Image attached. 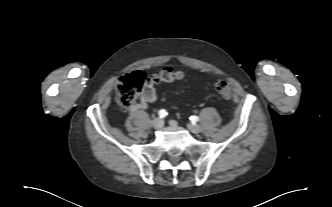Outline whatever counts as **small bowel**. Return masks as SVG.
<instances>
[{
  "label": "small bowel",
  "instance_id": "1",
  "mask_svg": "<svg viewBox=\"0 0 332 207\" xmlns=\"http://www.w3.org/2000/svg\"><path fill=\"white\" fill-rule=\"evenodd\" d=\"M157 100V93L154 88L153 82H148L142 92L140 100L133 105L132 111L144 110L148 107L149 104Z\"/></svg>",
  "mask_w": 332,
  "mask_h": 207
}]
</instances>
